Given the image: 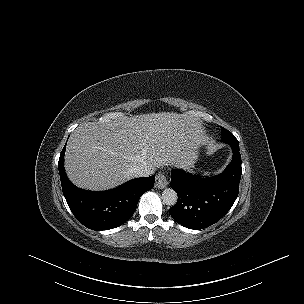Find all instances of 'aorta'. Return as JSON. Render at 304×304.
<instances>
[{
	"label": "aorta",
	"mask_w": 304,
	"mask_h": 304,
	"mask_svg": "<svg viewBox=\"0 0 304 304\" xmlns=\"http://www.w3.org/2000/svg\"><path fill=\"white\" fill-rule=\"evenodd\" d=\"M162 200L168 206H173L177 203L178 196L174 189L166 188L162 192Z\"/></svg>",
	"instance_id": "aorta-1"
}]
</instances>
